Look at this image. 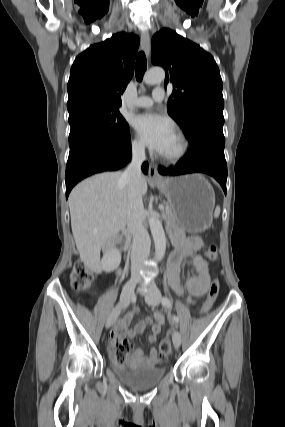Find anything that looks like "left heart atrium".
<instances>
[{
  "instance_id": "left-heart-atrium-1",
  "label": "left heart atrium",
  "mask_w": 285,
  "mask_h": 427,
  "mask_svg": "<svg viewBox=\"0 0 285 427\" xmlns=\"http://www.w3.org/2000/svg\"><path fill=\"white\" fill-rule=\"evenodd\" d=\"M134 126L143 142L158 153L165 149L175 133L172 122L155 113L138 116Z\"/></svg>"
}]
</instances>
